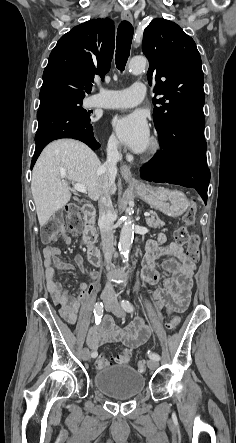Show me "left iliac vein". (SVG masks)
Here are the masks:
<instances>
[{"label":"left iliac vein","mask_w":236,"mask_h":443,"mask_svg":"<svg viewBox=\"0 0 236 443\" xmlns=\"http://www.w3.org/2000/svg\"><path fill=\"white\" fill-rule=\"evenodd\" d=\"M111 312L117 317H124L125 316V312H124L123 308L118 304L113 305ZM158 366H159V362L157 360L151 359L148 361L149 369L155 370L156 368H158Z\"/></svg>","instance_id":"4c4485c4"}]
</instances>
